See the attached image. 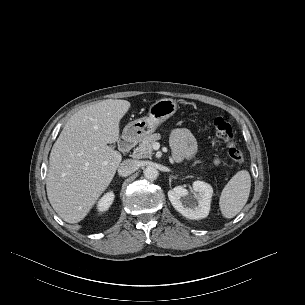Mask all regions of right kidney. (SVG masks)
I'll return each instance as SVG.
<instances>
[{"mask_svg": "<svg viewBox=\"0 0 305 305\" xmlns=\"http://www.w3.org/2000/svg\"><path fill=\"white\" fill-rule=\"evenodd\" d=\"M114 200V193L112 191L107 192L99 201L97 204V209L100 212L107 211Z\"/></svg>", "mask_w": 305, "mask_h": 305, "instance_id": "ca27d5eb", "label": "right kidney"}]
</instances>
